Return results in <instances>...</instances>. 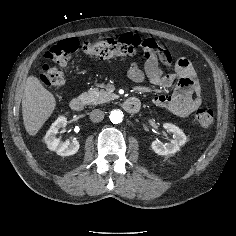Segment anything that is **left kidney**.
I'll return each mask as SVG.
<instances>
[{"mask_svg":"<svg viewBox=\"0 0 236 236\" xmlns=\"http://www.w3.org/2000/svg\"><path fill=\"white\" fill-rule=\"evenodd\" d=\"M163 127L173 134V139L165 144L155 140L152 142L151 148L158 155L174 154L187 142V137L179 127L172 123H165L163 124Z\"/></svg>","mask_w":236,"mask_h":236,"instance_id":"1","label":"left kidney"}]
</instances>
